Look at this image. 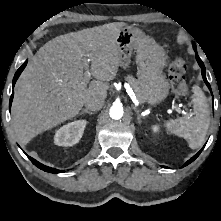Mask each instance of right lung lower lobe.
<instances>
[{"label": "right lung lower lobe", "instance_id": "1", "mask_svg": "<svg viewBox=\"0 0 221 221\" xmlns=\"http://www.w3.org/2000/svg\"><path fill=\"white\" fill-rule=\"evenodd\" d=\"M27 64V61H25L22 66L17 70V72L15 73V76L13 78V87L15 85V82L16 80L18 79V77L20 76L21 72L23 71V69L25 68ZM13 96H14V92L12 93L11 97H10V103H9V107H11V103H12V100H13ZM28 158L31 160V162L37 166L38 168H40L41 170L43 171H46V172H50V173H60L62 171L60 170H57V169H54V168H51V167H48V166H45L43 164H41L40 162H38L37 160L33 159L32 157L28 156Z\"/></svg>", "mask_w": 221, "mask_h": 221}]
</instances>
